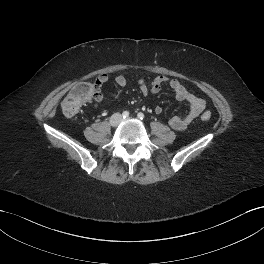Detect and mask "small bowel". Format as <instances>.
Returning a JSON list of instances; mask_svg holds the SVG:
<instances>
[{
	"instance_id": "1",
	"label": "small bowel",
	"mask_w": 264,
	"mask_h": 264,
	"mask_svg": "<svg viewBox=\"0 0 264 264\" xmlns=\"http://www.w3.org/2000/svg\"><path fill=\"white\" fill-rule=\"evenodd\" d=\"M107 74H100L95 82V94L93 100L95 106L102 102L103 96L101 94V87L108 81ZM114 82L119 87H126L128 85L127 77L118 75L114 78ZM135 83L143 95L157 94L161 91L164 84H168L174 92L175 99L180 102H185L188 105V111L183 116H174L170 119L169 124L175 130H184L187 126L197 118L205 109V101L193 94H191L177 79L170 78L165 75L157 76L151 80L137 78ZM154 111L159 114L162 112L160 106H155Z\"/></svg>"
}]
</instances>
